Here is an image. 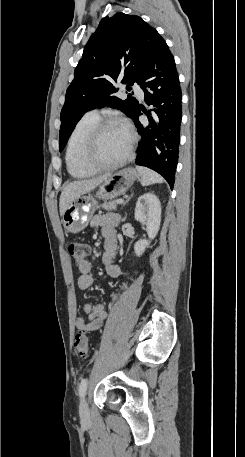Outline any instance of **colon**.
Returning a JSON list of instances; mask_svg holds the SVG:
<instances>
[{
    "label": "colon",
    "instance_id": "colon-1",
    "mask_svg": "<svg viewBox=\"0 0 245 457\" xmlns=\"http://www.w3.org/2000/svg\"><path fill=\"white\" fill-rule=\"evenodd\" d=\"M68 252L70 256L80 263L86 260L89 254V247L81 242L73 241L68 245ZM74 349L80 358H86L89 355V338L87 331L78 330L74 337Z\"/></svg>",
    "mask_w": 245,
    "mask_h": 457
}]
</instances>
